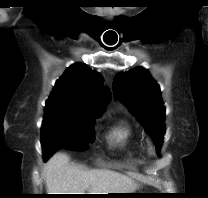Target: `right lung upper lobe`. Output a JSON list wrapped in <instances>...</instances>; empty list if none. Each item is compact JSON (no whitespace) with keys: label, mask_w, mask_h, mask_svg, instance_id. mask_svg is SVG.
Returning a JSON list of instances; mask_svg holds the SVG:
<instances>
[{"label":"right lung upper lobe","mask_w":208,"mask_h":198,"mask_svg":"<svg viewBox=\"0 0 208 198\" xmlns=\"http://www.w3.org/2000/svg\"><path fill=\"white\" fill-rule=\"evenodd\" d=\"M101 74L82 63L71 65L57 80L45 113L70 112L99 117L109 99Z\"/></svg>","instance_id":"obj_1"}]
</instances>
